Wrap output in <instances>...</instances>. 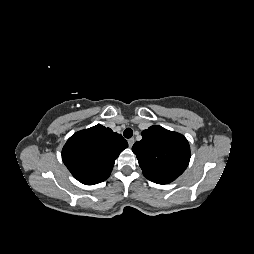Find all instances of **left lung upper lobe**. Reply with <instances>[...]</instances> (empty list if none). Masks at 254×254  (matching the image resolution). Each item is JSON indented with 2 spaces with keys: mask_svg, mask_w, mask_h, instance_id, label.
Wrapping results in <instances>:
<instances>
[{
  "mask_svg": "<svg viewBox=\"0 0 254 254\" xmlns=\"http://www.w3.org/2000/svg\"><path fill=\"white\" fill-rule=\"evenodd\" d=\"M132 151L144 176L158 184L174 181L184 172L190 160L187 139L161 126L144 130L142 140L133 145Z\"/></svg>",
  "mask_w": 254,
  "mask_h": 254,
  "instance_id": "left-lung-upper-lobe-1",
  "label": "left lung upper lobe"
}]
</instances>
